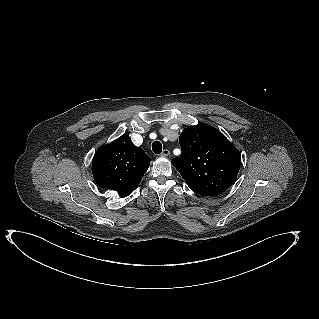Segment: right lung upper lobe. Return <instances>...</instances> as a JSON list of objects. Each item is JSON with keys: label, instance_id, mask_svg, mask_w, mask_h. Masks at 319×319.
Returning a JSON list of instances; mask_svg holds the SVG:
<instances>
[{"label": "right lung upper lobe", "instance_id": "right-lung-upper-lobe-1", "mask_svg": "<svg viewBox=\"0 0 319 319\" xmlns=\"http://www.w3.org/2000/svg\"><path fill=\"white\" fill-rule=\"evenodd\" d=\"M151 158L136 147L128 135L100 147L94 155L92 171L101 187L116 191L120 197L130 195L150 165Z\"/></svg>", "mask_w": 319, "mask_h": 319}]
</instances>
